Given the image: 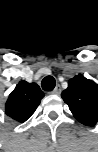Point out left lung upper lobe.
Wrapping results in <instances>:
<instances>
[{"label": "left lung upper lobe", "mask_w": 98, "mask_h": 152, "mask_svg": "<svg viewBox=\"0 0 98 152\" xmlns=\"http://www.w3.org/2000/svg\"><path fill=\"white\" fill-rule=\"evenodd\" d=\"M61 97L80 123L94 126L98 122V85L95 82L79 74L68 81Z\"/></svg>", "instance_id": "5c2ea615"}]
</instances>
